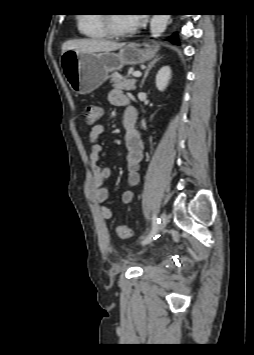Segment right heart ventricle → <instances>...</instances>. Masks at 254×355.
<instances>
[{"instance_id": "right-heart-ventricle-1", "label": "right heart ventricle", "mask_w": 254, "mask_h": 355, "mask_svg": "<svg viewBox=\"0 0 254 355\" xmlns=\"http://www.w3.org/2000/svg\"><path fill=\"white\" fill-rule=\"evenodd\" d=\"M78 30L91 39H104L108 37L104 29L103 13H86L77 19Z\"/></svg>"}]
</instances>
